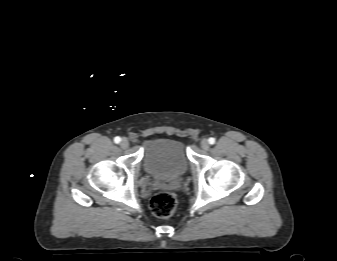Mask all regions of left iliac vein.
Wrapping results in <instances>:
<instances>
[{
	"label": "left iliac vein",
	"instance_id": "4c4485c4",
	"mask_svg": "<svg viewBox=\"0 0 337 261\" xmlns=\"http://www.w3.org/2000/svg\"><path fill=\"white\" fill-rule=\"evenodd\" d=\"M200 145H201V148L204 150H208L210 146L207 139H202Z\"/></svg>",
	"mask_w": 337,
	"mask_h": 261
}]
</instances>
